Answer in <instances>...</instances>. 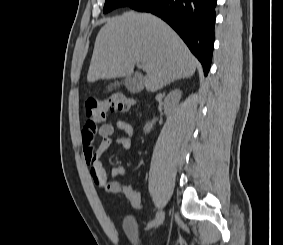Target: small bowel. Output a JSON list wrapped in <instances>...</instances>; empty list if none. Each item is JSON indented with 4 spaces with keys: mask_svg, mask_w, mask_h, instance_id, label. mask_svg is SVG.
Here are the masks:
<instances>
[{
    "mask_svg": "<svg viewBox=\"0 0 283 245\" xmlns=\"http://www.w3.org/2000/svg\"><path fill=\"white\" fill-rule=\"evenodd\" d=\"M121 135L117 136V133ZM133 127L124 120H118L116 126L103 123L87 121L81 130L84 159L90 166L91 175L95 185L108 193L122 194V182L113 180L108 181L107 175L102 165L104 154L112 147L118 146L122 149H129L132 143ZM101 139L100 144L95 148L97 138ZM130 172L124 167H115L111 171L113 178L127 177Z\"/></svg>",
    "mask_w": 283,
    "mask_h": 245,
    "instance_id": "c3829d8e",
    "label": "small bowel"
}]
</instances>
